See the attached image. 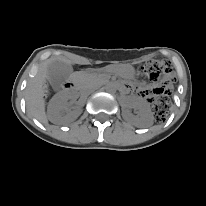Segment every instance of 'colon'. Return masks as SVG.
<instances>
[{
  "instance_id": "obj_1",
  "label": "colon",
  "mask_w": 206,
  "mask_h": 206,
  "mask_svg": "<svg viewBox=\"0 0 206 206\" xmlns=\"http://www.w3.org/2000/svg\"><path fill=\"white\" fill-rule=\"evenodd\" d=\"M141 71L149 80L161 83V86L153 91L157 98L152 105L155 120L161 122L168 115L170 108L169 87L174 81L172 65L165 60H151L142 66Z\"/></svg>"
}]
</instances>
